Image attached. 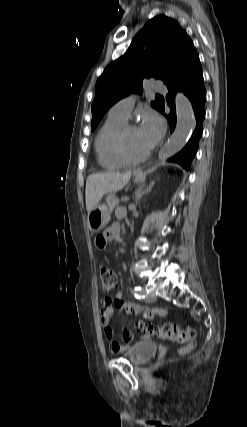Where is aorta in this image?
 <instances>
[{"mask_svg": "<svg viewBox=\"0 0 247 427\" xmlns=\"http://www.w3.org/2000/svg\"><path fill=\"white\" fill-rule=\"evenodd\" d=\"M177 124L169 141L159 151V159H167L179 152L192 134L196 121L192 105L188 98L178 93L176 96Z\"/></svg>", "mask_w": 247, "mask_h": 427, "instance_id": "762f6f07", "label": "aorta"}]
</instances>
